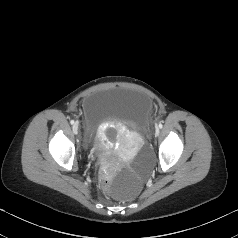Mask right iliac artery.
Returning <instances> with one entry per match:
<instances>
[{
  "instance_id": "1",
  "label": "right iliac artery",
  "mask_w": 238,
  "mask_h": 238,
  "mask_svg": "<svg viewBox=\"0 0 238 238\" xmlns=\"http://www.w3.org/2000/svg\"><path fill=\"white\" fill-rule=\"evenodd\" d=\"M70 123H71V124H74V120H71Z\"/></svg>"
}]
</instances>
